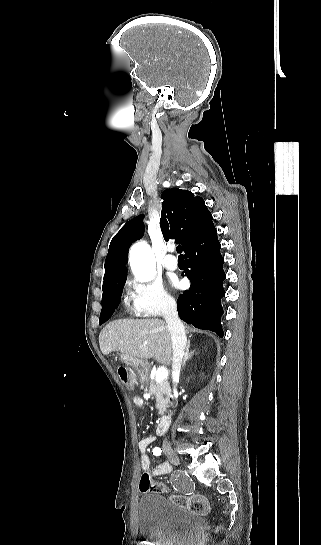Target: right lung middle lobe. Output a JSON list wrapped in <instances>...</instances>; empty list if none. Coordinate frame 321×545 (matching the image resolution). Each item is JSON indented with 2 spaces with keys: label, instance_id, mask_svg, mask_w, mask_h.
I'll return each mask as SVG.
<instances>
[{
  "label": "right lung middle lobe",
  "instance_id": "1",
  "mask_svg": "<svg viewBox=\"0 0 321 545\" xmlns=\"http://www.w3.org/2000/svg\"><path fill=\"white\" fill-rule=\"evenodd\" d=\"M125 281L126 279L110 288V289H107V290H103V295H102V311H101V314H100V319H99V324H102L104 322H106L108 320V318L106 317V302L107 300L111 297V296H120L121 293H122V290H123V287H124V284H125Z\"/></svg>",
  "mask_w": 321,
  "mask_h": 545
}]
</instances>
